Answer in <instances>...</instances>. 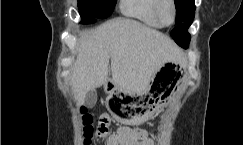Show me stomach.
Masks as SVG:
<instances>
[{
	"label": "stomach",
	"instance_id": "0dacf381",
	"mask_svg": "<svg viewBox=\"0 0 243 145\" xmlns=\"http://www.w3.org/2000/svg\"><path fill=\"white\" fill-rule=\"evenodd\" d=\"M161 68L163 71H160ZM161 68L153 75L152 82H148V89L144 93L127 91L113 81L105 83V91L109 94L107 106L117 121L124 124L140 123L153 113H158V108L153 106H159V102H171L175 98L172 94L178 91L175 87L183 85L180 82L184 76L183 67L166 62Z\"/></svg>",
	"mask_w": 243,
	"mask_h": 145
}]
</instances>
